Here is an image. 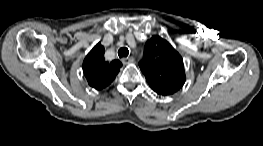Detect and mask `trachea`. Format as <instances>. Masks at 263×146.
<instances>
[{
	"label": "trachea",
	"instance_id": "3493384b",
	"mask_svg": "<svg viewBox=\"0 0 263 146\" xmlns=\"http://www.w3.org/2000/svg\"><path fill=\"white\" fill-rule=\"evenodd\" d=\"M129 54V50L126 47L120 48L118 50V56L121 57H127Z\"/></svg>",
	"mask_w": 263,
	"mask_h": 146
}]
</instances>
